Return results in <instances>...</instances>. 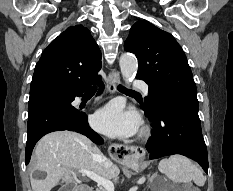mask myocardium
<instances>
[{"label":"myocardium","mask_w":233,"mask_h":191,"mask_svg":"<svg viewBox=\"0 0 233 191\" xmlns=\"http://www.w3.org/2000/svg\"><path fill=\"white\" fill-rule=\"evenodd\" d=\"M148 135V128H143L141 131V137L145 138Z\"/></svg>","instance_id":"1"}]
</instances>
